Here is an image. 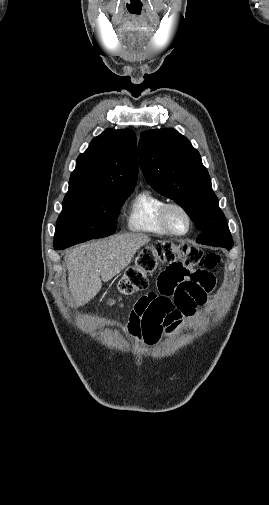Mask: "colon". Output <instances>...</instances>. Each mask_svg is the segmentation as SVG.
Returning <instances> with one entry per match:
<instances>
[{"mask_svg": "<svg viewBox=\"0 0 269 505\" xmlns=\"http://www.w3.org/2000/svg\"><path fill=\"white\" fill-rule=\"evenodd\" d=\"M172 259L185 262L186 265L183 268H187L190 272L194 268H211L213 270L220 262V256L215 252H204L187 244L156 243L141 250L135 265L126 270L119 283L120 292L124 295H130L144 290L148 285V276L161 263H169ZM167 268H170L169 265ZM147 298H149L148 295Z\"/></svg>", "mask_w": 269, "mask_h": 505, "instance_id": "colon-1", "label": "colon"}]
</instances>
